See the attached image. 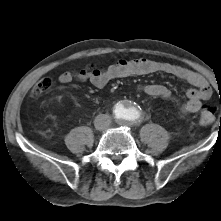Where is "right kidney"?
I'll list each match as a JSON object with an SVG mask.
<instances>
[{"instance_id": "right-kidney-1", "label": "right kidney", "mask_w": 221, "mask_h": 221, "mask_svg": "<svg viewBox=\"0 0 221 221\" xmlns=\"http://www.w3.org/2000/svg\"><path fill=\"white\" fill-rule=\"evenodd\" d=\"M58 100H59V102H60V100H61V97H59V98H58Z\"/></svg>"}]
</instances>
